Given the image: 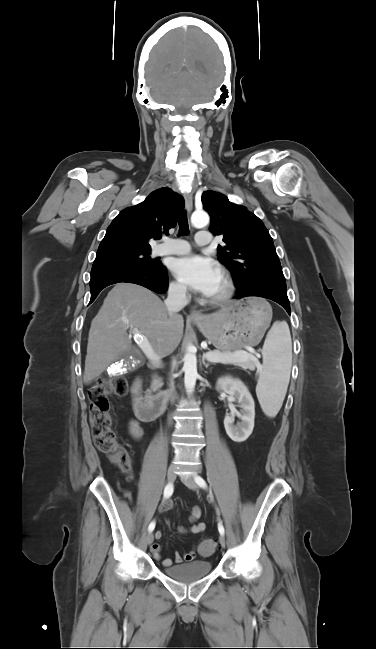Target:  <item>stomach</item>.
<instances>
[{
    "label": "stomach",
    "instance_id": "0dacf381",
    "mask_svg": "<svg viewBox=\"0 0 376 649\" xmlns=\"http://www.w3.org/2000/svg\"><path fill=\"white\" fill-rule=\"evenodd\" d=\"M271 317V307L265 300L250 298L233 301L228 307L201 315L193 322L218 350L235 351L257 345Z\"/></svg>",
    "mask_w": 376,
    "mask_h": 649
}]
</instances>
